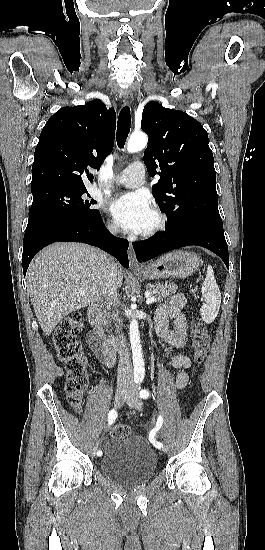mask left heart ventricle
Masks as SVG:
<instances>
[{"label":"left heart ventricle","mask_w":265,"mask_h":550,"mask_svg":"<svg viewBox=\"0 0 265 550\" xmlns=\"http://www.w3.org/2000/svg\"><path fill=\"white\" fill-rule=\"evenodd\" d=\"M154 224H155V217L153 214H151L143 231L150 229Z\"/></svg>","instance_id":"left-heart-ventricle-1"}]
</instances>
